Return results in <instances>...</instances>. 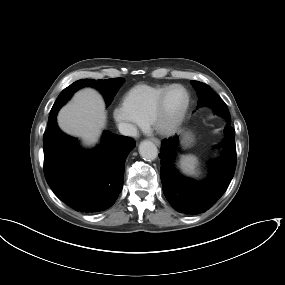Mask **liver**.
Masks as SVG:
<instances>
[{"instance_id":"1","label":"liver","mask_w":285,"mask_h":285,"mask_svg":"<svg viewBox=\"0 0 285 285\" xmlns=\"http://www.w3.org/2000/svg\"><path fill=\"white\" fill-rule=\"evenodd\" d=\"M57 121L61 130L80 137L86 145H93L106 125L104 100L94 89L80 90L59 111Z\"/></svg>"}]
</instances>
